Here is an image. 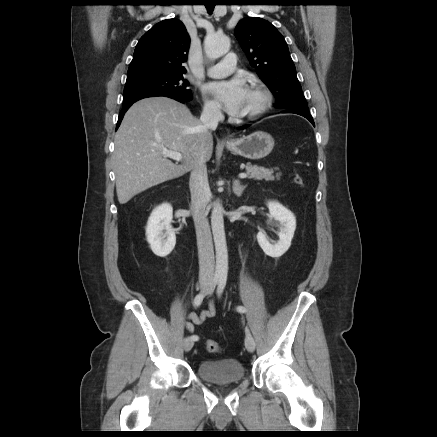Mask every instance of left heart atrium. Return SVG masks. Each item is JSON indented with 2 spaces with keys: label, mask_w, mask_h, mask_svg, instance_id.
Returning a JSON list of instances; mask_svg holds the SVG:
<instances>
[{
  "label": "left heart atrium",
  "mask_w": 437,
  "mask_h": 437,
  "mask_svg": "<svg viewBox=\"0 0 437 437\" xmlns=\"http://www.w3.org/2000/svg\"><path fill=\"white\" fill-rule=\"evenodd\" d=\"M205 90L220 102L227 113L239 115L248 89L243 80L236 78L209 83Z\"/></svg>",
  "instance_id": "39dd6f15"
}]
</instances>
